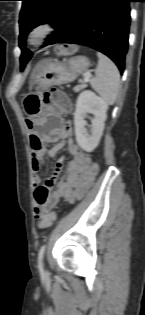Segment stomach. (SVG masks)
Returning a JSON list of instances; mask_svg holds the SVG:
<instances>
[{
	"label": "stomach",
	"instance_id": "obj_1",
	"mask_svg": "<svg viewBox=\"0 0 145 315\" xmlns=\"http://www.w3.org/2000/svg\"><path fill=\"white\" fill-rule=\"evenodd\" d=\"M35 78L39 87L49 85H61L74 81L79 75L85 73L90 61L87 57L79 55L70 58L66 62L46 59ZM42 103L40 94L33 91L31 94H23L21 99V112H27V116H42Z\"/></svg>",
	"mask_w": 145,
	"mask_h": 315
}]
</instances>
